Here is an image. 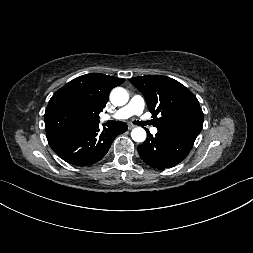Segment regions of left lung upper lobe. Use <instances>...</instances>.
Masks as SVG:
<instances>
[{
  "instance_id": "5c2ea615",
  "label": "left lung upper lobe",
  "mask_w": 253,
  "mask_h": 253,
  "mask_svg": "<svg viewBox=\"0 0 253 253\" xmlns=\"http://www.w3.org/2000/svg\"><path fill=\"white\" fill-rule=\"evenodd\" d=\"M130 82L143 93L160 132L196 139L203 112L195 95L178 81L160 75L139 76Z\"/></svg>"
}]
</instances>
